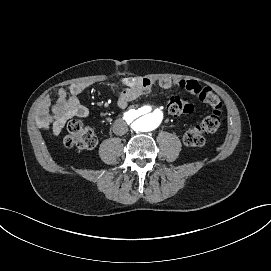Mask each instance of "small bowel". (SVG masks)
<instances>
[{"label":"small bowel","instance_id":"obj_1","mask_svg":"<svg viewBox=\"0 0 271 271\" xmlns=\"http://www.w3.org/2000/svg\"><path fill=\"white\" fill-rule=\"evenodd\" d=\"M124 89L118 98V106L125 108L139 96L148 93L153 88L171 89L179 87L186 92L198 96L201 86L195 80L186 79H148L124 78L121 80ZM91 83L80 82L60 88L56 92V101L52 102L50 95L41 101L35 116L39 128L50 131L54 136H59L65 124L72 118H87L90 110L79 102L78 95L87 90Z\"/></svg>","mask_w":271,"mask_h":271}]
</instances>
